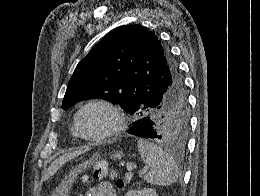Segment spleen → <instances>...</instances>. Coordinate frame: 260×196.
<instances>
[{
  "label": "spleen",
  "mask_w": 260,
  "mask_h": 196,
  "mask_svg": "<svg viewBox=\"0 0 260 196\" xmlns=\"http://www.w3.org/2000/svg\"><path fill=\"white\" fill-rule=\"evenodd\" d=\"M137 148L146 168L149 170L144 176L145 182L155 184V186H171V184L177 182L179 168L173 158L166 154L162 148L143 140V138L138 140Z\"/></svg>",
  "instance_id": "obj_1"
}]
</instances>
